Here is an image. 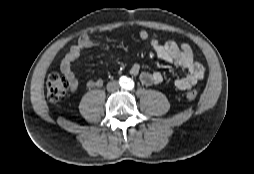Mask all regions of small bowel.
Returning a JSON list of instances; mask_svg holds the SVG:
<instances>
[{
    "mask_svg": "<svg viewBox=\"0 0 254 174\" xmlns=\"http://www.w3.org/2000/svg\"><path fill=\"white\" fill-rule=\"evenodd\" d=\"M139 37L147 41L158 58L186 72V76L177 78L174 81L176 89H190L204 78L205 69L195 60L193 52L188 44L182 43L179 45L174 41L161 43L157 38L150 37L146 30H141L139 32ZM99 44V41L92 39L90 36L82 35L78 38L77 42L70 47L69 52L62 60L60 69L66 76L72 91H76L79 88V81L72 66L79 59L84 50ZM130 73L132 75H139L141 82L146 86L160 84L163 81L161 72L141 71L138 64H133L130 67ZM87 85L91 88L100 87L103 85V80L101 78L90 79Z\"/></svg>",
    "mask_w": 254,
    "mask_h": 174,
    "instance_id": "1",
    "label": "small bowel"
}]
</instances>
